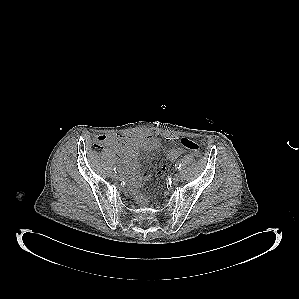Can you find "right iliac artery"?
I'll return each instance as SVG.
<instances>
[{"instance_id": "obj_1", "label": "right iliac artery", "mask_w": 299, "mask_h": 299, "mask_svg": "<svg viewBox=\"0 0 299 299\" xmlns=\"http://www.w3.org/2000/svg\"><path fill=\"white\" fill-rule=\"evenodd\" d=\"M113 170H114L115 173H117V171H118L116 167Z\"/></svg>"}]
</instances>
